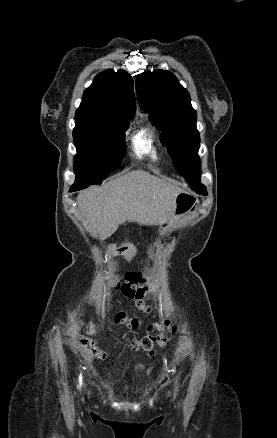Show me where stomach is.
<instances>
[{"label": "stomach", "mask_w": 277, "mask_h": 438, "mask_svg": "<svg viewBox=\"0 0 277 438\" xmlns=\"http://www.w3.org/2000/svg\"><path fill=\"white\" fill-rule=\"evenodd\" d=\"M198 206L199 201L195 196L185 191L178 193L175 197V206L171 217L161 224V234H168L181 218L196 212Z\"/></svg>", "instance_id": "stomach-1"}]
</instances>
